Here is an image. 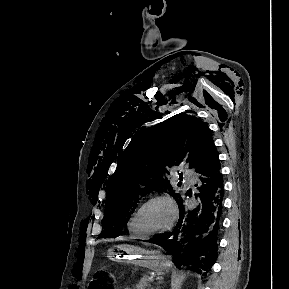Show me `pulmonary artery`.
<instances>
[{
  "instance_id": "e3ab8cb5",
  "label": "pulmonary artery",
  "mask_w": 289,
  "mask_h": 289,
  "mask_svg": "<svg viewBox=\"0 0 289 289\" xmlns=\"http://www.w3.org/2000/svg\"><path fill=\"white\" fill-rule=\"evenodd\" d=\"M184 177L186 178V179H190V178H192L193 177V175H192V173L190 172V171H188V170H184Z\"/></svg>"
}]
</instances>
